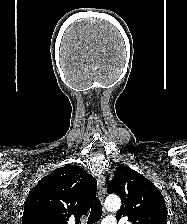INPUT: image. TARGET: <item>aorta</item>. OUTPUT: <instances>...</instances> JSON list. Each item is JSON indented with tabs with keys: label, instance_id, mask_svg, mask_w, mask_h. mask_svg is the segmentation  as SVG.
Segmentation results:
<instances>
[{
	"label": "aorta",
	"instance_id": "obj_1",
	"mask_svg": "<svg viewBox=\"0 0 187 224\" xmlns=\"http://www.w3.org/2000/svg\"><path fill=\"white\" fill-rule=\"evenodd\" d=\"M105 208L108 211L114 212L117 211L121 206V200L117 196H108L105 200Z\"/></svg>",
	"mask_w": 187,
	"mask_h": 224
}]
</instances>
